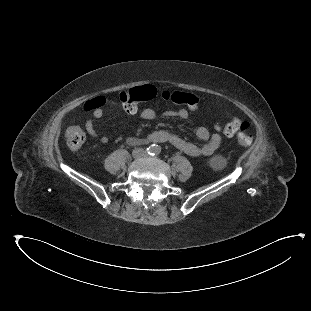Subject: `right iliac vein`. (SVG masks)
<instances>
[{"label":"right iliac vein","mask_w":311,"mask_h":311,"mask_svg":"<svg viewBox=\"0 0 311 311\" xmlns=\"http://www.w3.org/2000/svg\"><path fill=\"white\" fill-rule=\"evenodd\" d=\"M134 156H135V157H139V156H140V153H139V152H136V153L134 154Z\"/></svg>","instance_id":"right-iliac-vein-1"}]
</instances>
